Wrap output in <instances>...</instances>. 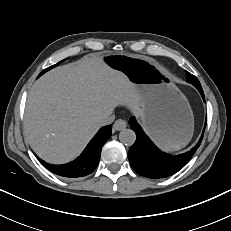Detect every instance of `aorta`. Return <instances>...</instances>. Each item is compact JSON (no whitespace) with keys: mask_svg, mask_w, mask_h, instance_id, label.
<instances>
[{"mask_svg":"<svg viewBox=\"0 0 231 231\" xmlns=\"http://www.w3.org/2000/svg\"><path fill=\"white\" fill-rule=\"evenodd\" d=\"M119 140L122 144L131 146L134 144L136 140V134L131 129H123L119 133Z\"/></svg>","mask_w":231,"mask_h":231,"instance_id":"762f6f07","label":"aorta"}]
</instances>
